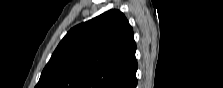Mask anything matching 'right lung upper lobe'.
Listing matches in <instances>:
<instances>
[{
  "mask_svg": "<svg viewBox=\"0 0 223 88\" xmlns=\"http://www.w3.org/2000/svg\"><path fill=\"white\" fill-rule=\"evenodd\" d=\"M135 51L132 27L122 12L112 9L66 34L36 88H131Z\"/></svg>",
  "mask_w": 223,
  "mask_h": 88,
  "instance_id": "right-lung-upper-lobe-1",
  "label": "right lung upper lobe"
}]
</instances>
